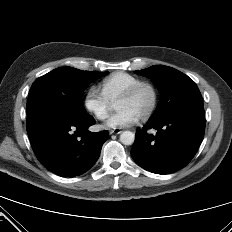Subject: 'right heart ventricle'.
I'll list each match as a JSON object with an SVG mask.
<instances>
[{
  "label": "right heart ventricle",
  "mask_w": 232,
  "mask_h": 232,
  "mask_svg": "<svg viewBox=\"0 0 232 232\" xmlns=\"http://www.w3.org/2000/svg\"><path fill=\"white\" fill-rule=\"evenodd\" d=\"M142 81L138 76L126 72H115L103 78L100 82V91L110 103L127 91L136 83Z\"/></svg>",
  "instance_id": "right-heart-ventricle-1"
}]
</instances>
